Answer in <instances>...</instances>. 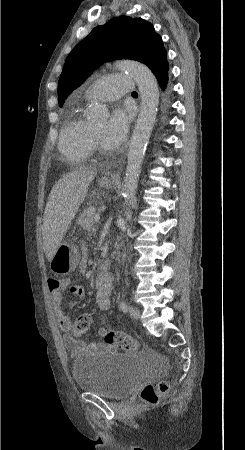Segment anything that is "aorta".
I'll return each instance as SVG.
<instances>
[{
    "label": "aorta",
    "mask_w": 245,
    "mask_h": 450,
    "mask_svg": "<svg viewBox=\"0 0 245 450\" xmlns=\"http://www.w3.org/2000/svg\"><path fill=\"white\" fill-rule=\"evenodd\" d=\"M116 67L127 72L136 81L141 95L140 112L131 137L124 177L123 197L125 204L130 205L136 193L146 146L156 119L159 89L155 76L145 65L123 60L117 62ZM89 115L94 121H103L108 117V109L99 103H93Z\"/></svg>",
    "instance_id": "762f6f07"
}]
</instances>
